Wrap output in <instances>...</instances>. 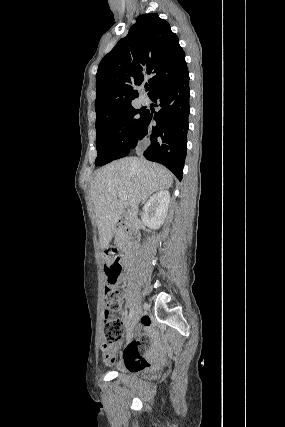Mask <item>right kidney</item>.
Masks as SVG:
<instances>
[{
    "label": "right kidney",
    "mask_w": 285,
    "mask_h": 427,
    "mask_svg": "<svg viewBox=\"0 0 285 427\" xmlns=\"http://www.w3.org/2000/svg\"><path fill=\"white\" fill-rule=\"evenodd\" d=\"M170 202V193L161 190L154 194L143 207L142 220L151 229H159L163 224Z\"/></svg>",
    "instance_id": "ca27d5eb"
}]
</instances>
